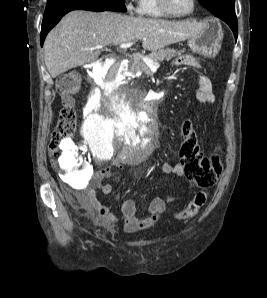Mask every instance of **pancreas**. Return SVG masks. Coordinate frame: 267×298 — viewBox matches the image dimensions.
Here are the masks:
<instances>
[{"label": "pancreas", "mask_w": 267, "mask_h": 298, "mask_svg": "<svg viewBox=\"0 0 267 298\" xmlns=\"http://www.w3.org/2000/svg\"><path fill=\"white\" fill-rule=\"evenodd\" d=\"M181 54L180 51H177L175 49H159L157 51L152 52L148 55L149 58H151L155 62H162L164 59L170 60L176 55ZM131 72H137V71H143L145 74H150L149 67L144 63L141 57H134V61L129 69Z\"/></svg>", "instance_id": "obj_1"}]
</instances>
